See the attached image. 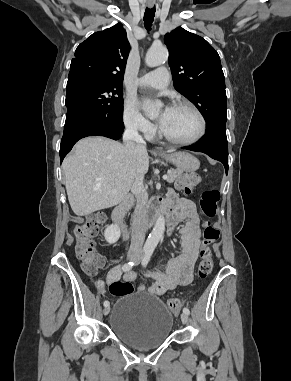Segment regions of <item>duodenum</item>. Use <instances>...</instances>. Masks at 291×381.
<instances>
[{
	"label": "duodenum",
	"instance_id": "1",
	"mask_svg": "<svg viewBox=\"0 0 291 381\" xmlns=\"http://www.w3.org/2000/svg\"><path fill=\"white\" fill-rule=\"evenodd\" d=\"M133 203L131 196H125L123 200L115 207L112 213L114 223L121 229L123 235H128V229L123 221L125 212L130 208ZM167 213V206L161 201H152L148 206V217L146 220V227L150 226L160 215Z\"/></svg>",
	"mask_w": 291,
	"mask_h": 381
}]
</instances>
